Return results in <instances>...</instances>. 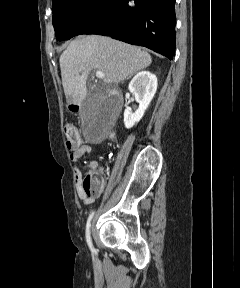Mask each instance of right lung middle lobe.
Instances as JSON below:
<instances>
[{
    "mask_svg": "<svg viewBox=\"0 0 240 288\" xmlns=\"http://www.w3.org/2000/svg\"><path fill=\"white\" fill-rule=\"evenodd\" d=\"M111 0H53L52 22L57 40L79 35L96 20Z\"/></svg>",
    "mask_w": 240,
    "mask_h": 288,
    "instance_id": "obj_1",
    "label": "right lung middle lobe"
}]
</instances>
